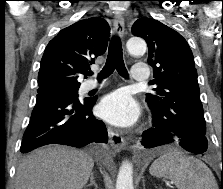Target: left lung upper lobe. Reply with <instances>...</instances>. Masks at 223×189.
I'll return each instance as SVG.
<instances>
[{"instance_id": "left-lung-upper-lobe-1", "label": "left lung upper lobe", "mask_w": 223, "mask_h": 189, "mask_svg": "<svg viewBox=\"0 0 223 189\" xmlns=\"http://www.w3.org/2000/svg\"><path fill=\"white\" fill-rule=\"evenodd\" d=\"M148 45V63L156 71L154 94H147L153 114L166 130L206 135V123L192 51L178 32L161 22L142 17L132 27Z\"/></svg>"}]
</instances>
